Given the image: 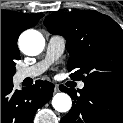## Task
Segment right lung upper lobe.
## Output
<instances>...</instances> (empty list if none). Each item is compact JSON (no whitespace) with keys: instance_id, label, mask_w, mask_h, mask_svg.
I'll return each mask as SVG.
<instances>
[{"instance_id":"cb5924a9","label":"right lung upper lobe","mask_w":123,"mask_h":123,"mask_svg":"<svg viewBox=\"0 0 123 123\" xmlns=\"http://www.w3.org/2000/svg\"><path fill=\"white\" fill-rule=\"evenodd\" d=\"M43 14H24L1 10V33L17 44L21 32L35 26Z\"/></svg>"}]
</instances>
